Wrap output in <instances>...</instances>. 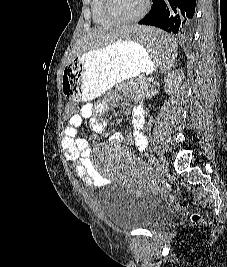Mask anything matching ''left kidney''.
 I'll return each mask as SVG.
<instances>
[{
	"mask_svg": "<svg viewBox=\"0 0 227 267\" xmlns=\"http://www.w3.org/2000/svg\"><path fill=\"white\" fill-rule=\"evenodd\" d=\"M184 77L185 76L182 70H174L168 73L167 77L164 79L165 92L169 95L176 93Z\"/></svg>",
	"mask_w": 227,
	"mask_h": 267,
	"instance_id": "5707ae66",
	"label": "left kidney"
}]
</instances>
